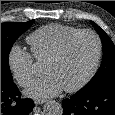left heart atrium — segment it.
Listing matches in <instances>:
<instances>
[{"mask_svg":"<svg viewBox=\"0 0 115 115\" xmlns=\"http://www.w3.org/2000/svg\"><path fill=\"white\" fill-rule=\"evenodd\" d=\"M64 90V86L53 75L45 76L34 81L26 90V94L33 98H44L58 95Z\"/></svg>","mask_w":115,"mask_h":115,"instance_id":"1","label":"left heart atrium"}]
</instances>
